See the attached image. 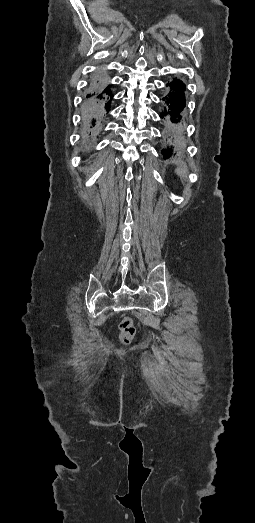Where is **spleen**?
Instances as JSON below:
<instances>
[{
  "label": "spleen",
  "instance_id": "spleen-1",
  "mask_svg": "<svg viewBox=\"0 0 255 523\" xmlns=\"http://www.w3.org/2000/svg\"><path fill=\"white\" fill-rule=\"evenodd\" d=\"M186 172H187V166H185V164H180V166H178V168L176 170L177 176H185Z\"/></svg>",
  "mask_w": 255,
  "mask_h": 523
}]
</instances>
